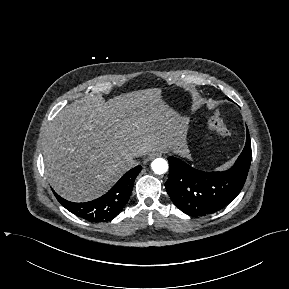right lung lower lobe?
<instances>
[{
    "label": "right lung lower lobe",
    "mask_w": 289,
    "mask_h": 289,
    "mask_svg": "<svg viewBox=\"0 0 289 289\" xmlns=\"http://www.w3.org/2000/svg\"><path fill=\"white\" fill-rule=\"evenodd\" d=\"M140 171V165L131 169L105 195L90 202L74 203L63 199L54 191L53 193L62 206L77 216L93 222H104L115 217L123 209Z\"/></svg>",
    "instance_id": "right-lung-lower-lobe-1"
}]
</instances>
